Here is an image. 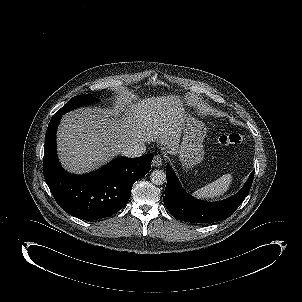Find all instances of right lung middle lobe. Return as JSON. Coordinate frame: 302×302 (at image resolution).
Here are the masks:
<instances>
[{
	"label": "right lung middle lobe",
	"instance_id": "obj_1",
	"mask_svg": "<svg viewBox=\"0 0 302 302\" xmlns=\"http://www.w3.org/2000/svg\"><path fill=\"white\" fill-rule=\"evenodd\" d=\"M98 100L92 98L90 94L75 96L70 99L60 110H58L55 114L63 115L77 107H81L88 103H92Z\"/></svg>",
	"mask_w": 302,
	"mask_h": 302
}]
</instances>
